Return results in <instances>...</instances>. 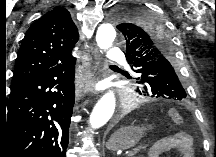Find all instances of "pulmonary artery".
Listing matches in <instances>:
<instances>
[{
	"label": "pulmonary artery",
	"instance_id": "1",
	"mask_svg": "<svg viewBox=\"0 0 216 157\" xmlns=\"http://www.w3.org/2000/svg\"><path fill=\"white\" fill-rule=\"evenodd\" d=\"M124 57V54L117 49H110L107 53V58L110 60H120ZM126 65V64H124Z\"/></svg>",
	"mask_w": 216,
	"mask_h": 157
}]
</instances>
